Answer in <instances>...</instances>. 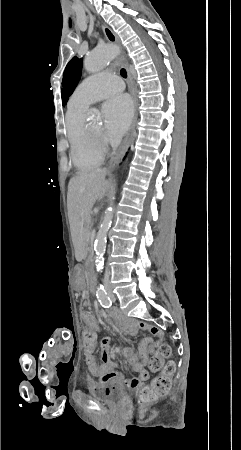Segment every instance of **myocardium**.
I'll list each match as a JSON object with an SVG mask.
<instances>
[{"label":"myocardium","instance_id":"myocardium-1","mask_svg":"<svg viewBox=\"0 0 241 450\" xmlns=\"http://www.w3.org/2000/svg\"><path fill=\"white\" fill-rule=\"evenodd\" d=\"M85 134V136L81 137L79 140L85 144L81 145L82 149H102L103 145H102V139L100 137V132L98 129H89L88 132L85 130L83 132ZM94 144V145H93ZM99 157L103 156L102 152H99L97 154Z\"/></svg>","mask_w":241,"mask_h":450}]
</instances>
